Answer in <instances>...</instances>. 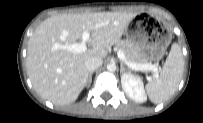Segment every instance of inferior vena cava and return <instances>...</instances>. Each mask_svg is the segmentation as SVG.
<instances>
[{
	"label": "inferior vena cava",
	"mask_w": 203,
	"mask_h": 123,
	"mask_svg": "<svg viewBox=\"0 0 203 123\" xmlns=\"http://www.w3.org/2000/svg\"><path fill=\"white\" fill-rule=\"evenodd\" d=\"M103 60L100 58H90L85 61V68L89 72H93L96 69H98L100 66H102Z\"/></svg>",
	"instance_id": "602c4592"
}]
</instances>
